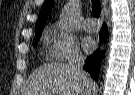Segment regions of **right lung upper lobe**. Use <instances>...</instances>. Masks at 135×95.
I'll use <instances>...</instances> for the list:
<instances>
[{
	"instance_id": "cb5924a9",
	"label": "right lung upper lobe",
	"mask_w": 135,
	"mask_h": 95,
	"mask_svg": "<svg viewBox=\"0 0 135 95\" xmlns=\"http://www.w3.org/2000/svg\"><path fill=\"white\" fill-rule=\"evenodd\" d=\"M52 4H53V0H46L45 3L43 4L41 12L39 14L38 21H37L36 33L42 32L46 19L48 17V14L51 10Z\"/></svg>"
}]
</instances>
